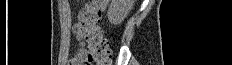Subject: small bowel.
Returning <instances> with one entry per match:
<instances>
[{"instance_id":"c3829d8e","label":"small bowel","mask_w":232,"mask_h":65,"mask_svg":"<svg viewBox=\"0 0 232 65\" xmlns=\"http://www.w3.org/2000/svg\"><path fill=\"white\" fill-rule=\"evenodd\" d=\"M73 32H74L75 38L78 41H81V47H80V50L71 58L70 65H85L87 64V54L84 50L85 33H84L83 25L81 22L74 25Z\"/></svg>"}]
</instances>
